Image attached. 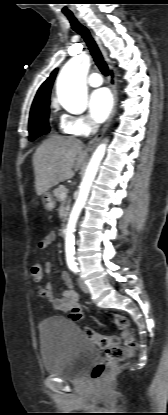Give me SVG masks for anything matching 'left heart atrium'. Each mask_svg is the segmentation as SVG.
I'll return each instance as SVG.
<instances>
[{"mask_svg": "<svg viewBox=\"0 0 168 415\" xmlns=\"http://www.w3.org/2000/svg\"><path fill=\"white\" fill-rule=\"evenodd\" d=\"M89 112L96 123L105 121L113 106L110 92L105 88L93 91L89 97Z\"/></svg>", "mask_w": 168, "mask_h": 415, "instance_id": "obj_1", "label": "left heart atrium"}]
</instances>
